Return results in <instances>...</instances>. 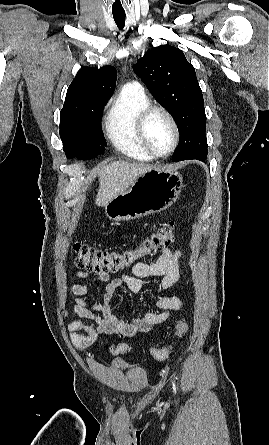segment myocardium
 Here are the masks:
<instances>
[{
	"label": "myocardium",
	"mask_w": 269,
	"mask_h": 445,
	"mask_svg": "<svg viewBox=\"0 0 269 445\" xmlns=\"http://www.w3.org/2000/svg\"><path fill=\"white\" fill-rule=\"evenodd\" d=\"M155 112H160V113L164 114L170 121L172 128H173V134H174L173 143L171 145V148L164 154L157 153L152 148L150 143L148 142V139L146 136L147 122H148L150 116ZM136 130H137L138 139H139L142 147L151 156H153L156 159H165V158H168L169 156H171L174 153V151L176 150V148L178 147V144L180 141V128H179L178 122H177L175 116L167 108H165L163 106L149 105L146 108H144L138 116Z\"/></svg>",
	"instance_id": "f54148a6"
}]
</instances>
